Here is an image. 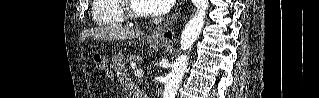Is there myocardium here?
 <instances>
[{
    "label": "myocardium",
    "mask_w": 319,
    "mask_h": 98,
    "mask_svg": "<svg viewBox=\"0 0 319 98\" xmlns=\"http://www.w3.org/2000/svg\"><path fill=\"white\" fill-rule=\"evenodd\" d=\"M120 9L126 20L139 21L147 17L145 12H138L133 8L131 0H120Z\"/></svg>",
    "instance_id": "obj_1"
}]
</instances>
